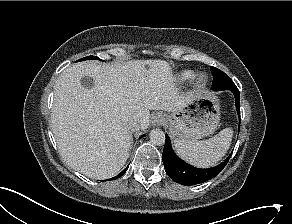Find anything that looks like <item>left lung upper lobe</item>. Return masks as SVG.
Here are the masks:
<instances>
[{"label": "left lung upper lobe", "mask_w": 292, "mask_h": 224, "mask_svg": "<svg viewBox=\"0 0 292 224\" xmlns=\"http://www.w3.org/2000/svg\"><path fill=\"white\" fill-rule=\"evenodd\" d=\"M211 72L214 77L212 83L213 90H222L223 87L230 86L233 83V81L221 70L211 67Z\"/></svg>", "instance_id": "obj_1"}]
</instances>
